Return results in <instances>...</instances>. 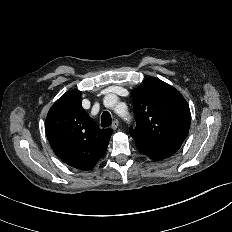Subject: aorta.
<instances>
[{
	"instance_id": "762f6f07",
	"label": "aorta",
	"mask_w": 232,
	"mask_h": 232,
	"mask_svg": "<svg viewBox=\"0 0 232 232\" xmlns=\"http://www.w3.org/2000/svg\"><path fill=\"white\" fill-rule=\"evenodd\" d=\"M105 105L108 107L114 108L115 112L124 119H128V113L126 110V106L123 103H118L117 98L112 96L109 100L108 98L105 99Z\"/></svg>"
}]
</instances>
